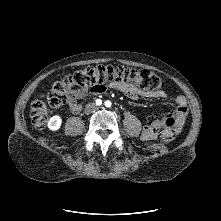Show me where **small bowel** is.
<instances>
[{
	"label": "small bowel",
	"instance_id": "1",
	"mask_svg": "<svg viewBox=\"0 0 221 221\" xmlns=\"http://www.w3.org/2000/svg\"><path fill=\"white\" fill-rule=\"evenodd\" d=\"M108 89L118 91L130 99H137L140 97L165 99L167 97L164 91H142L132 85L114 81L109 84H105L94 91L89 89H77L73 91L68 98L69 111H71L72 113L80 112L81 106L78 103V100H82L89 95H100ZM173 115L175 118V128L177 131H179L182 128V125L187 115V104L183 96H178L176 98V106ZM163 125V119H157L151 122L150 124L145 125L141 134L142 139L145 141L154 140L157 137L158 132L163 127Z\"/></svg>",
	"mask_w": 221,
	"mask_h": 221
}]
</instances>
